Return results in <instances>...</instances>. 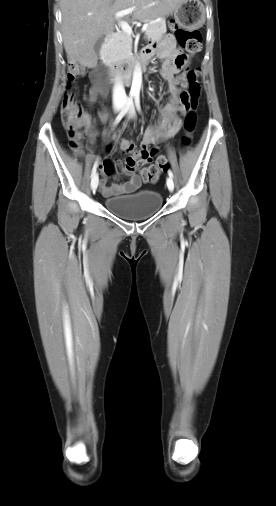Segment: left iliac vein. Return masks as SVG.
Listing matches in <instances>:
<instances>
[{
    "label": "left iliac vein",
    "instance_id": "obj_1",
    "mask_svg": "<svg viewBox=\"0 0 276 506\" xmlns=\"http://www.w3.org/2000/svg\"><path fill=\"white\" fill-rule=\"evenodd\" d=\"M129 115H130V117H134V115H135V109H134L133 103L130 104ZM166 183H167L168 189L172 192L174 190V182H173L172 178L168 177L166 180Z\"/></svg>",
    "mask_w": 276,
    "mask_h": 506
}]
</instances>
